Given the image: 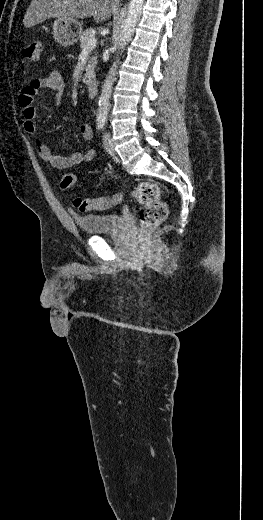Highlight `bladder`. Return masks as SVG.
Listing matches in <instances>:
<instances>
[{"label": "bladder", "instance_id": "1", "mask_svg": "<svg viewBox=\"0 0 263 520\" xmlns=\"http://www.w3.org/2000/svg\"><path fill=\"white\" fill-rule=\"evenodd\" d=\"M76 226L91 235L118 233L125 227V220L119 214H88L73 216Z\"/></svg>", "mask_w": 263, "mask_h": 520}]
</instances>
